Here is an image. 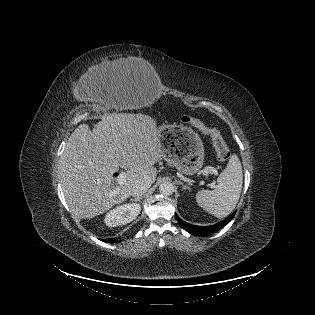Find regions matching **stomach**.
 Masks as SVG:
<instances>
[{"instance_id":"stomach-1","label":"stomach","mask_w":315,"mask_h":315,"mask_svg":"<svg viewBox=\"0 0 315 315\" xmlns=\"http://www.w3.org/2000/svg\"><path fill=\"white\" fill-rule=\"evenodd\" d=\"M161 157L182 174L193 175L203 166L204 146L192 129L177 124L157 126Z\"/></svg>"}]
</instances>
